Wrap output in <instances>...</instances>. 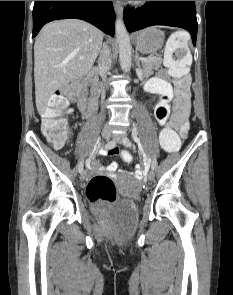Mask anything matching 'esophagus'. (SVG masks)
Masks as SVG:
<instances>
[{"instance_id": "1", "label": "esophagus", "mask_w": 233, "mask_h": 295, "mask_svg": "<svg viewBox=\"0 0 233 295\" xmlns=\"http://www.w3.org/2000/svg\"><path fill=\"white\" fill-rule=\"evenodd\" d=\"M114 9H115V12H116L119 16L122 15V13H123V7H122L120 1H115V2H114Z\"/></svg>"}]
</instances>
